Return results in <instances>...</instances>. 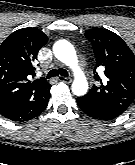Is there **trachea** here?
<instances>
[{"instance_id": "3493384b", "label": "trachea", "mask_w": 135, "mask_h": 165, "mask_svg": "<svg viewBox=\"0 0 135 165\" xmlns=\"http://www.w3.org/2000/svg\"><path fill=\"white\" fill-rule=\"evenodd\" d=\"M58 75H61L63 77H68V72L63 69V68H60V69H52L48 72L47 74V78H51V77H55V76H58Z\"/></svg>"}]
</instances>
